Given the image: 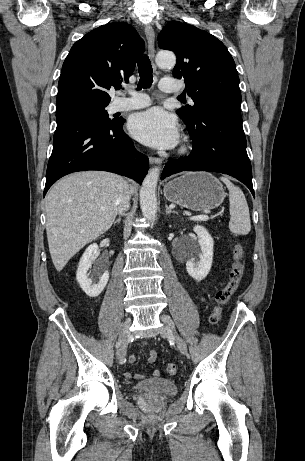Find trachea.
<instances>
[{"mask_svg":"<svg viewBox=\"0 0 305 461\" xmlns=\"http://www.w3.org/2000/svg\"><path fill=\"white\" fill-rule=\"evenodd\" d=\"M138 71L140 80L137 89L141 90L142 88H150L153 82V70L150 59L147 55L140 58L138 62ZM178 99L183 100L182 97H178Z\"/></svg>","mask_w":305,"mask_h":461,"instance_id":"3493384b","label":"trachea"}]
</instances>
